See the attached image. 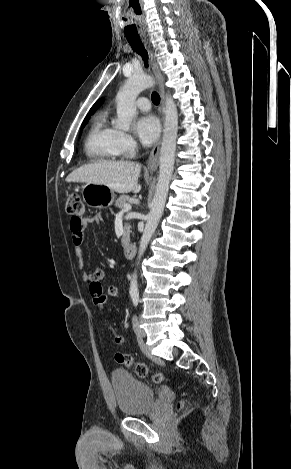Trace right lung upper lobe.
<instances>
[{
  "instance_id": "cb5924a9",
  "label": "right lung upper lobe",
  "mask_w": 291,
  "mask_h": 469,
  "mask_svg": "<svg viewBox=\"0 0 291 469\" xmlns=\"http://www.w3.org/2000/svg\"><path fill=\"white\" fill-rule=\"evenodd\" d=\"M103 102V99H99L93 106L92 108L90 109L89 111V114L87 116H89L90 114H92Z\"/></svg>"
}]
</instances>
